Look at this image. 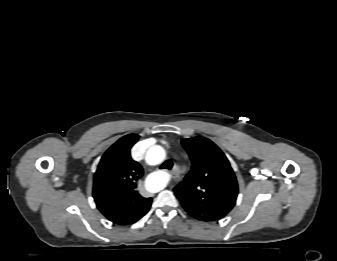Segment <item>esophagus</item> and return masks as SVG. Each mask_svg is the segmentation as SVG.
Masks as SVG:
<instances>
[{"label":"esophagus","mask_w":337,"mask_h":261,"mask_svg":"<svg viewBox=\"0 0 337 261\" xmlns=\"http://www.w3.org/2000/svg\"><path fill=\"white\" fill-rule=\"evenodd\" d=\"M176 172H177V168H176V167H174V168H173V170H172V173H173V175H174V178H177V176H176Z\"/></svg>","instance_id":"obj_1"}]
</instances>
